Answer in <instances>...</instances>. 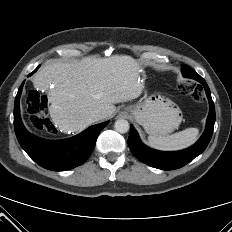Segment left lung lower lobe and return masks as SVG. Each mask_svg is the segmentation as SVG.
<instances>
[{"label": "left lung lower lobe", "mask_w": 232, "mask_h": 232, "mask_svg": "<svg viewBox=\"0 0 232 232\" xmlns=\"http://www.w3.org/2000/svg\"><path fill=\"white\" fill-rule=\"evenodd\" d=\"M182 73L185 77L198 80L202 84L199 85V87H204L206 91L210 105L206 129L199 141L190 148L177 152H160L144 146L140 141L136 130L133 128V126H131L130 135L128 138L130 150L137 157V159L154 168L162 170H174L183 167L205 150L213 134L215 124V106L212 101L207 83L199 74H197L187 65H182Z\"/></svg>", "instance_id": "obj_1"}]
</instances>
